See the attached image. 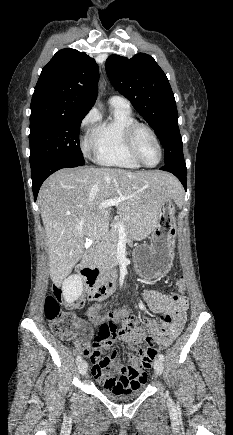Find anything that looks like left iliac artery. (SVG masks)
<instances>
[{
    "mask_svg": "<svg viewBox=\"0 0 233 435\" xmlns=\"http://www.w3.org/2000/svg\"><path fill=\"white\" fill-rule=\"evenodd\" d=\"M158 358L162 361L164 360V356L162 354H159Z\"/></svg>",
    "mask_w": 233,
    "mask_h": 435,
    "instance_id": "44dca946",
    "label": "left iliac artery"
}]
</instances>
